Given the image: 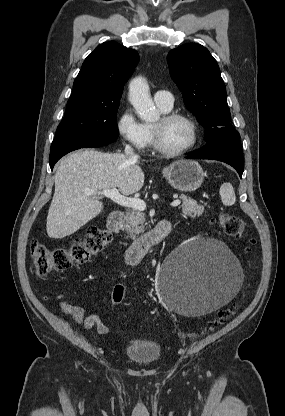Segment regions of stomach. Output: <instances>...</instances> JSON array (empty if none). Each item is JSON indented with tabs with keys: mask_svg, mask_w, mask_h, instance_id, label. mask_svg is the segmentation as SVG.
<instances>
[{
	"mask_svg": "<svg viewBox=\"0 0 285 416\" xmlns=\"http://www.w3.org/2000/svg\"><path fill=\"white\" fill-rule=\"evenodd\" d=\"M170 186L180 192H195L203 184L204 172L193 160H177L162 172Z\"/></svg>",
	"mask_w": 285,
	"mask_h": 416,
	"instance_id": "obj_1",
	"label": "stomach"
}]
</instances>
